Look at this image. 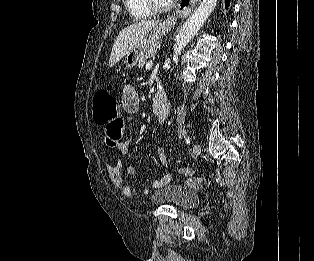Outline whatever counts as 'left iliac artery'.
<instances>
[{"label": "left iliac artery", "mask_w": 314, "mask_h": 261, "mask_svg": "<svg viewBox=\"0 0 314 261\" xmlns=\"http://www.w3.org/2000/svg\"><path fill=\"white\" fill-rule=\"evenodd\" d=\"M185 141H186L187 144H190V139H189V137L186 138Z\"/></svg>", "instance_id": "1"}]
</instances>
